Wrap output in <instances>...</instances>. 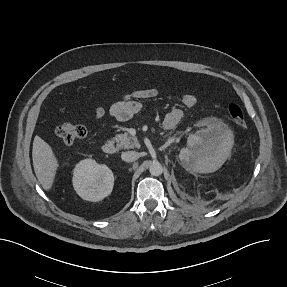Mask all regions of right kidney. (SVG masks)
I'll list each match as a JSON object with an SVG mask.
<instances>
[{"mask_svg": "<svg viewBox=\"0 0 287 287\" xmlns=\"http://www.w3.org/2000/svg\"><path fill=\"white\" fill-rule=\"evenodd\" d=\"M73 187L84 200L97 202L111 194L114 186L112 171L95 160L79 162L73 171Z\"/></svg>", "mask_w": 287, "mask_h": 287, "instance_id": "right-kidney-1", "label": "right kidney"}]
</instances>
